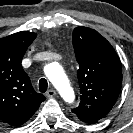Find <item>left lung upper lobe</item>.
<instances>
[{"label": "left lung upper lobe", "instance_id": "5c2ea615", "mask_svg": "<svg viewBox=\"0 0 133 133\" xmlns=\"http://www.w3.org/2000/svg\"><path fill=\"white\" fill-rule=\"evenodd\" d=\"M73 47L79 63L80 104L72 112L80 120L95 123L114 106L122 83L119 58L111 44L97 31L76 27Z\"/></svg>", "mask_w": 133, "mask_h": 133}]
</instances>
